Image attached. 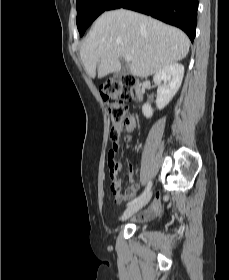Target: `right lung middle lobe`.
Returning <instances> with one entry per match:
<instances>
[{"label":"right lung middle lobe","mask_w":229,"mask_h":280,"mask_svg":"<svg viewBox=\"0 0 229 280\" xmlns=\"http://www.w3.org/2000/svg\"><path fill=\"white\" fill-rule=\"evenodd\" d=\"M115 0H76V23L82 36L87 27L104 11L109 10Z\"/></svg>","instance_id":"obj_1"}]
</instances>
